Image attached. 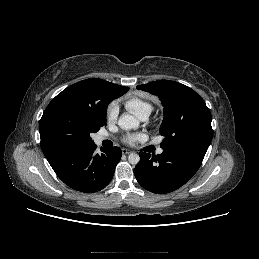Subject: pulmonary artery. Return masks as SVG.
I'll list each match as a JSON object with an SVG mask.
<instances>
[{
  "mask_svg": "<svg viewBox=\"0 0 259 259\" xmlns=\"http://www.w3.org/2000/svg\"><path fill=\"white\" fill-rule=\"evenodd\" d=\"M148 115L149 114H142V115H140V116H138L141 120H146L147 119V117H148ZM106 138L105 137H100V141H103V140H105ZM163 152V150L161 149V148H159L158 150H157V153L158 154H161Z\"/></svg>",
  "mask_w": 259,
  "mask_h": 259,
  "instance_id": "e3ab8cb5",
  "label": "pulmonary artery"
}]
</instances>
